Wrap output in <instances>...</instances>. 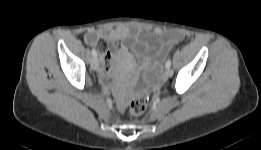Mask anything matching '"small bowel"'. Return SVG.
Listing matches in <instances>:
<instances>
[{"mask_svg":"<svg viewBox=\"0 0 261 150\" xmlns=\"http://www.w3.org/2000/svg\"><path fill=\"white\" fill-rule=\"evenodd\" d=\"M143 33L149 36H142ZM85 42L90 46H97L104 53L105 66L108 67L110 53L107 44L121 41L133 51L137 62L132 66L136 73L138 68L146 70V80L154 82L159 71V61L170 49L183 39V34L177 30H165L152 26H117L101 29H90L85 34Z\"/></svg>","mask_w":261,"mask_h":150,"instance_id":"c3829d8e","label":"small bowel"}]
</instances>
